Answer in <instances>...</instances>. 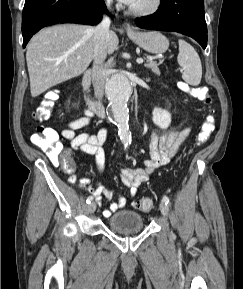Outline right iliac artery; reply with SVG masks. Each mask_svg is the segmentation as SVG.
Returning <instances> with one entry per match:
<instances>
[{"mask_svg":"<svg viewBox=\"0 0 243 289\" xmlns=\"http://www.w3.org/2000/svg\"><path fill=\"white\" fill-rule=\"evenodd\" d=\"M93 200V197L92 196H89L86 200L87 203H91V201Z\"/></svg>","mask_w":243,"mask_h":289,"instance_id":"right-iliac-artery-1","label":"right iliac artery"}]
</instances>
